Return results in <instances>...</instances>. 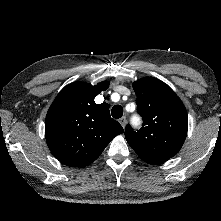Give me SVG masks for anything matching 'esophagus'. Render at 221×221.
I'll list each match as a JSON object with an SVG mask.
<instances>
[{
  "mask_svg": "<svg viewBox=\"0 0 221 221\" xmlns=\"http://www.w3.org/2000/svg\"><path fill=\"white\" fill-rule=\"evenodd\" d=\"M126 117H122L119 119V123L121 124V126L124 128L126 125Z\"/></svg>",
  "mask_w": 221,
  "mask_h": 221,
  "instance_id": "1",
  "label": "esophagus"
}]
</instances>
